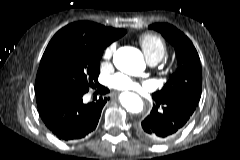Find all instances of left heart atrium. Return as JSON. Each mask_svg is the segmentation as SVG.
<instances>
[{
  "label": "left heart atrium",
  "instance_id": "left-heart-atrium-1",
  "mask_svg": "<svg viewBox=\"0 0 240 160\" xmlns=\"http://www.w3.org/2000/svg\"><path fill=\"white\" fill-rule=\"evenodd\" d=\"M110 85L118 90H132L138 88V83L136 81L124 75L112 77Z\"/></svg>",
  "mask_w": 240,
  "mask_h": 160
}]
</instances>
